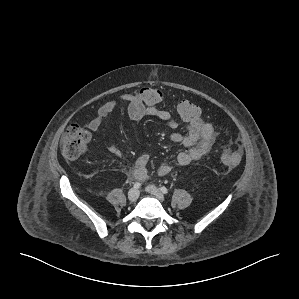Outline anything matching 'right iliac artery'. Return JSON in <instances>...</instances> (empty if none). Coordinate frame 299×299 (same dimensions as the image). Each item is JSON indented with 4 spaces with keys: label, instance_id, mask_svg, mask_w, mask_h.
Listing matches in <instances>:
<instances>
[{
    "label": "right iliac artery",
    "instance_id": "1",
    "mask_svg": "<svg viewBox=\"0 0 299 299\" xmlns=\"http://www.w3.org/2000/svg\"><path fill=\"white\" fill-rule=\"evenodd\" d=\"M133 187L134 189H139L141 187V184L139 182H136Z\"/></svg>",
    "mask_w": 299,
    "mask_h": 299
}]
</instances>
